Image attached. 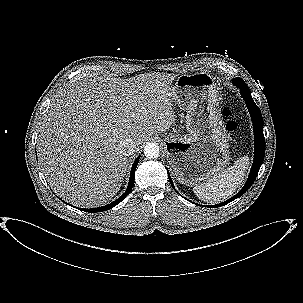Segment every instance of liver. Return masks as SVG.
I'll return each mask as SVG.
<instances>
[{"instance_id":"obj_1","label":"liver","mask_w":303,"mask_h":303,"mask_svg":"<svg viewBox=\"0 0 303 303\" xmlns=\"http://www.w3.org/2000/svg\"><path fill=\"white\" fill-rule=\"evenodd\" d=\"M175 77L96 76L58 94L43 117L37 147L54 192L79 207L100 206L113 198L127 170L120 143L131 138L139 146L175 123Z\"/></svg>"}]
</instances>
